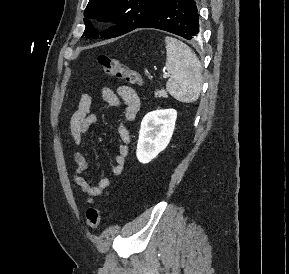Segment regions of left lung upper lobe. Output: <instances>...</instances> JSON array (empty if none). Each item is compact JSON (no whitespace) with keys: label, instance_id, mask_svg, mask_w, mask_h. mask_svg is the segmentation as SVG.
<instances>
[{"label":"left lung upper lobe","instance_id":"obj_1","mask_svg":"<svg viewBox=\"0 0 289 274\" xmlns=\"http://www.w3.org/2000/svg\"><path fill=\"white\" fill-rule=\"evenodd\" d=\"M165 0H89L84 12L86 25L83 36L99 38V32L89 19H104L117 24L100 33L114 38L134 30L147 19Z\"/></svg>","mask_w":289,"mask_h":274}]
</instances>
